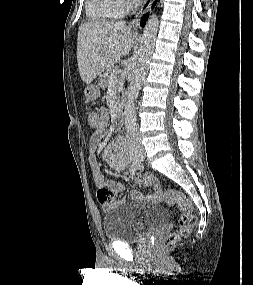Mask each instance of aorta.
<instances>
[{"mask_svg": "<svg viewBox=\"0 0 253 285\" xmlns=\"http://www.w3.org/2000/svg\"><path fill=\"white\" fill-rule=\"evenodd\" d=\"M159 20L156 14H152L144 27L138 58L127 92V103L124 111L125 127L127 132L134 134L137 131V118L135 113V101L141 90L142 83L148 71L150 58L153 54L158 32Z\"/></svg>", "mask_w": 253, "mask_h": 285, "instance_id": "762f6f07", "label": "aorta"}]
</instances>
